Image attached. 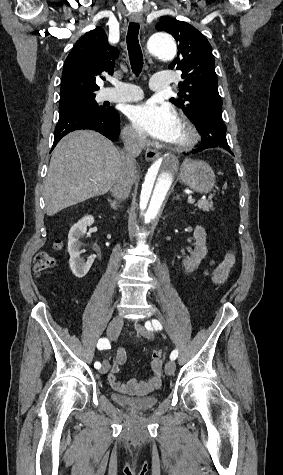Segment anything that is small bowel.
<instances>
[{"instance_id":"c3829d8e","label":"small bowel","mask_w":283,"mask_h":475,"mask_svg":"<svg viewBox=\"0 0 283 475\" xmlns=\"http://www.w3.org/2000/svg\"><path fill=\"white\" fill-rule=\"evenodd\" d=\"M235 262H236L235 252L232 249H229L226 252L223 260L215 267V269H213L211 273H209L208 276L211 277L212 281L215 284L224 283L227 280L229 273L232 267L234 266ZM126 361H127L126 351L123 348H119L116 353V358L114 362L112 363L110 371L107 375L108 383L115 390L122 391L125 389L124 385H121V383L118 381L117 375L119 374L121 367L126 363ZM152 370H153V375L149 378L148 382L152 386H157L161 381L162 369H152ZM129 383L135 384L136 378L130 377ZM139 383L145 384L146 378L140 377Z\"/></svg>"}]
</instances>
